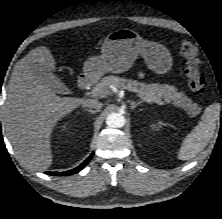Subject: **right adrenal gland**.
Instances as JSON below:
<instances>
[{
  "instance_id": "obj_1",
  "label": "right adrenal gland",
  "mask_w": 222,
  "mask_h": 219,
  "mask_svg": "<svg viewBox=\"0 0 222 219\" xmlns=\"http://www.w3.org/2000/svg\"><path fill=\"white\" fill-rule=\"evenodd\" d=\"M85 111L90 112L91 114H95L96 112H98L97 110H92L87 108H85Z\"/></svg>"
}]
</instances>
